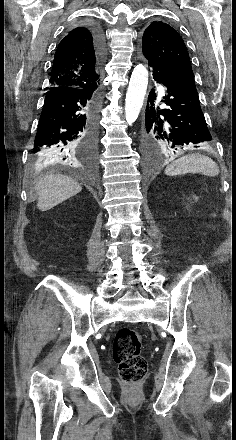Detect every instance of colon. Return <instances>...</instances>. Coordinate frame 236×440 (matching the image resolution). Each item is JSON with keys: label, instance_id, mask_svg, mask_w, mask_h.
Here are the masks:
<instances>
[{"label": "colon", "instance_id": "colon-1", "mask_svg": "<svg viewBox=\"0 0 236 440\" xmlns=\"http://www.w3.org/2000/svg\"><path fill=\"white\" fill-rule=\"evenodd\" d=\"M142 337L128 327L117 331L113 343V355L119 366V374L125 383L142 381L148 370L146 359L141 354Z\"/></svg>", "mask_w": 236, "mask_h": 440}]
</instances>
